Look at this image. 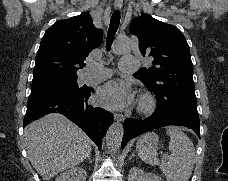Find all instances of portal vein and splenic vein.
I'll return each mask as SVG.
<instances>
[{
    "label": "portal vein and splenic vein",
    "instance_id": "obj_1",
    "mask_svg": "<svg viewBox=\"0 0 228 181\" xmlns=\"http://www.w3.org/2000/svg\"><path fill=\"white\" fill-rule=\"evenodd\" d=\"M168 155H162V159H167Z\"/></svg>",
    "mask_w": 228,
    "mask_h": 181
}]
</instances>
